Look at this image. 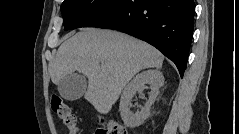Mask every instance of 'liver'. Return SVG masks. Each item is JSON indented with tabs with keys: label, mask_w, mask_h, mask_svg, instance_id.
<instances>
[{
	"label": "liver",
	"mask_w": 239,
	"mask_h": 134,
	"mask_svg": "<svg viewBox=\"0 0 239 134\" xmlns=\"http://www.w3.org/2000/svg\"><path fill=\"white\" fill-rule=\"evenodd\" d=\"M163 60L146 42L112 30L86 28L61 44L49 72L56 85L74 71L84 74L88 78L85 99L107 114L136 73L161 68Z\"/></svg>",
	"instance_id": "obj_1"
}]
</instances>
